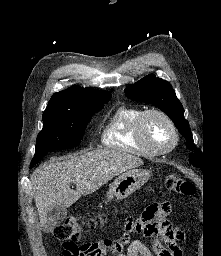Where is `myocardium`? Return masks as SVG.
<instances>
[{"mask_svg":"<svg viewBox=\"0 0 221 256\" xmlns=\"http://www.w3.org/2000/svg\"><path fill=\"white\" fill-rule=\"evenodd\" d=\"M151 115H157V116L161 117L162 119H164L166 121V123L171 128V131L173 133V142L167 148L159 149V148L154 147L148 141V139L145 135V122H146L147 118ZM135 133H136L137 140L145 148H147L150 152H152L153 154H156V155H164V154L171 152L177 146V144L179 142L178 129H177L174 121L172 120V118L164 111H162L160 109H156V108L147 109L140 114V116L138 117V120H137Z\"/></svg>","mask_w":221,"mask_h":256,"instance_id":"obj_1","label":"myocardium"}]
</instances>
